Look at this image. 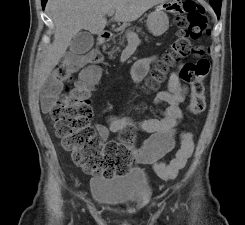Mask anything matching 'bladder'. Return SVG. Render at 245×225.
<instances>
[{"label": "bladder", "instance_id": "1", "mask_svg": "<svg viewBox=\"0 0 245 225\" xmlns=\"http://www.w3.org/2000/svg\"><path fill=\"white\" fill-rule=\"evenodd\" d=\"M151 187L148 174L139 167L124 174L91 179L93 201L103 206L133 207L149 194Z\"/></svg>", "mask_w": 245, "mask_h": 225}]
</instances>
